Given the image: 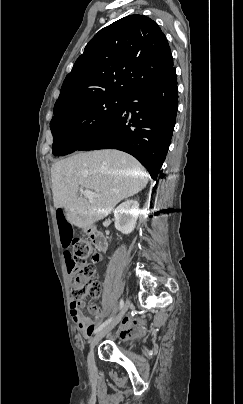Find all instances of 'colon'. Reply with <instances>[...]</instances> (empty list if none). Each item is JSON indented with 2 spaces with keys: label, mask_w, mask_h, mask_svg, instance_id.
<instances>
[{
  "label": "colon",
  "mask_w": 243,
  "mask_h": 404,
  "mask_svg": "<svg viewBox=\"0 0 243 404\" xmlns=\"http://www.w3.org/2000/svg\"><path fill=\"white\" fill-rule=\"evenodd\" d=\"M73 277L77 283V289L73 291L75 301L84 296L97 298L100 294V285L94 280L96 264L101 256L95 252L85 239H77L73 243Z\"/></svg>",
  "instance_id": "obj_1"
}]
</instances>
